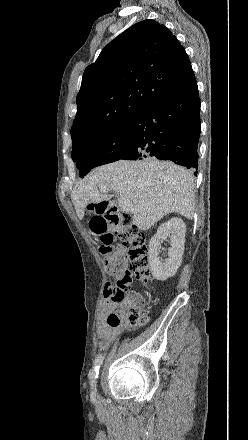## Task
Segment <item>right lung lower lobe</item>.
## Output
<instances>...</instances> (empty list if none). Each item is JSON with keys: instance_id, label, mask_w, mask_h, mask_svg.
<instances>
[{"instance_id": "right-lung-lower-lobe-1", "label": "right lung lower lobe", "mask_w": 248, "mask_h": 440, "mask_svg": "<svg viewBox=\"0 0 248 440\" xmlns=\"http://www.w3.org/2000/svg\"><path fill=\"white\" fill-rule=\"evenodd\" d=\"M199 113L197 83L185 91L154 100L129 120L128 149L120 159L156 157L197 170Z\"/></svg>"}]
</instances>
